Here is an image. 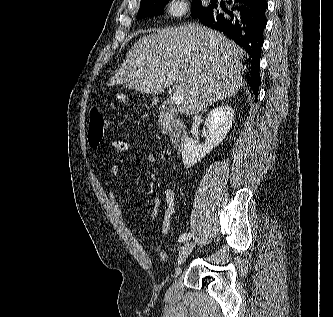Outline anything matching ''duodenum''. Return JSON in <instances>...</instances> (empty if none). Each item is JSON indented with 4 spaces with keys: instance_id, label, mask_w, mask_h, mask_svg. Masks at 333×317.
Masks as SVG:
<instances>
[{
    "instance_id": "1",
    "label": "duodenum",
    "mask_w": 333,
    "mask_h": 317,
    "mask_svg": "<svg viewBox=\"0 0 333 317\" xmlns=\"http://www.w3.org/2000/svg\"><path fill=\"white\" fill-rule=\"evenodd\" d=\"M158 107L161 119L168 127L169 139L173 148L181 150L187 139V132L184 126L174 118L171 103L160 101Z\"/></svg>"
}]
</instances>
